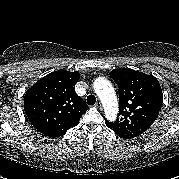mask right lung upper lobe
<instances>
[{
  "label": "right lung upper lobe",
  "instance_id": "cb5924a9",
  "mask_svg": "<svg viewBox=\"0 0 179 179\" xmlns=\"http://www.w3.org/2000/svg\"><path fill=\"white\" fill-rule=\"evenodd\" d=\"M79 78L78 71H55L27 90L24 110L39 132L57 138L79 123L89 109L74 89Z\"/></svg>",
  "mask_w": 179,
  "mask_h": 179
}]
</instances>
